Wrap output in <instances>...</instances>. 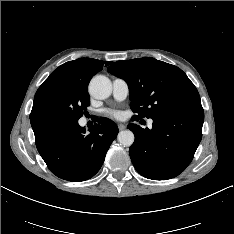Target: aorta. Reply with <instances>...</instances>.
<instances>
[{
    "mask_svg": "<svg viewBox=\"0 0 234 234\" xmlns=\"http://www.w3.org/2000/svg\"><path fill=\"white\" fill-rule=\"evenodd\" d=\"M89 92L96 99H106L111 95L112 83L105 76H96L89 83ZM117 139L121 145L131 146L134 142V134L130 130L120 131Z\"/></svg>",
    "mask_w": 234,
    "mask_h": 234,
    "instance_id": "obj_1",
    "label": "aorta"
}]
</instances>
